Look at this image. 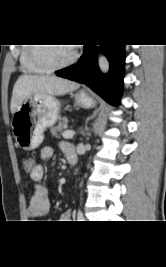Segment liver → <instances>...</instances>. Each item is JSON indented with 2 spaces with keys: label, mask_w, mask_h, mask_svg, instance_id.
Here are the masks:
<instances>
[{
  "label": "liver",
  "mask_w": 166,
  "mask_h": 267,
  "mask_svg": "<svg viewBox=\"0 0 166 267\" xmlns=\"http://www.w3.org/2000/svg\"><path fill=\"white\" fill-rule=\"evenodd\" d=\"M78 87L79 84L75 82L52 75H21L13 87L10 111L14 114L33 95L60 96Z\"/></svg>",
  "instance_id": "obj_1"
}]
</instances>
